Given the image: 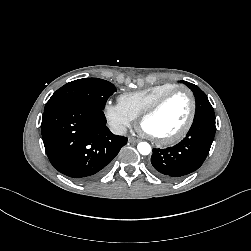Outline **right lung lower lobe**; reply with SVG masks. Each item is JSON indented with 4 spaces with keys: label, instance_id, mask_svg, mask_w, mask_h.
Masks as SVG:
<instances>
[{
    "label": "right lung lower lobe",
    "instance_id": "98d812e1",
    "mask_svg": "<svg viewBox=\"0 0 251 251\" xmlns=\"http://www.w3.org/2000/svg\"><path fill=\"white\" fill-rule=\"evenodd\" d=\"M43 143L51 164L80 182L101 176L127 138L110 132L102 109L61 104L44 109Z\"/></svg>",
    "mask_w": 251,
    "mask_h": 251
}]
</instances>
